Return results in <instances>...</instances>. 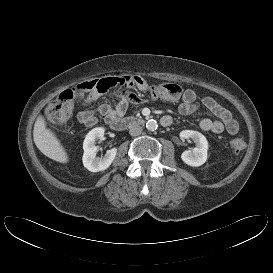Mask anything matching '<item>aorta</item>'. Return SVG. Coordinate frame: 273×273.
Listing matches in <instances>:
<instances>
[{
	"label": "aorta",
	"instance_id": "obj_1",
	"mask_svg": "<svg viewBox=\"0 0 273 273\" xmlns=\"http://www.w3.org/2000/svg\"><path fill=\"white\" fill-rule=\"evenodd\" d=\"M157 127H158V124L156 120L150 119L146 122V128L149 131H155Z\"/></svg>",
	"mask_w": 273,
	"mask_h": 273
}]
</instances>
